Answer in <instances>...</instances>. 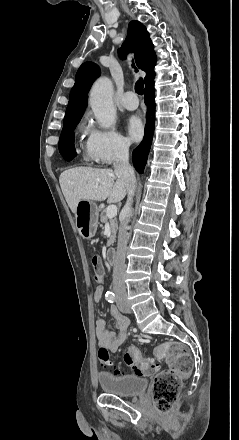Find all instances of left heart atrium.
Returning <instances> with one entry per match:
<instances>
[{
  "label": "left heart atrium",
  "instance_id": "obj_1",
  "mask_svg": "<svg viewBox=\"0 0 239 440\" xmlns=\"http://www.w3.org/2000/svg\"><path fill=\"white\" fill-rule=\"evenodd\" d=\"M124 126L128 133V136L137 140L141 137L143 133V127L141 121L136 116H129L124 120Z\"/></svg>",
  "mask_w": 239,
  "mask_h": 440
}]
</instances>
